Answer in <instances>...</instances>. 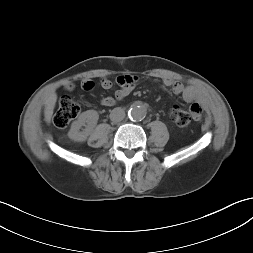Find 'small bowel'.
<instances>
[{"label": "small bowel", "mask_w": 253, "mask_h": 253, "mask_svg": "<svg viewBox=\"0 0 253 253\" xmlns=\"http://www.w3.org/2000/svg\"><path fill=\"white\" fill-rule=\"evenodd\" d=\"M136 82V78L129 75H122L117 78V83L120 88L116 90L114 96H107L101 99V104L106 107H111L116 104L117 101L125 98L133 89V86ZM162 84L165 87L171 88L172 92L175 95H179L182 99L191 104L190 111L195 120H200L202 117V108H203V98L200 93L193 86H185L178 81H174L171 78H164ZM100 85L103 89L109 90L112 87V82L106 78L102 77L100 80ZM95 84L91 79H84L81 82V87L84 90H92ZM64 88L68 91L74 89V84L66 83Z\"/></svg>", "instance_id": "c3829d8e"}]
</instances>
